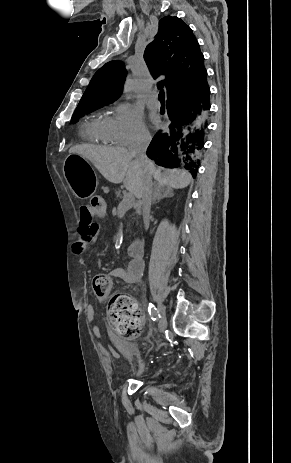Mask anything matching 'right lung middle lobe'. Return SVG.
I'll use <instances>...</instances> for the list:
<instances>
[{
    "label": "right lung middle lobe",
    "mask_w": 291,
    "mask_h": 463,
    "mask_svg": "<svg viewBox=\"0 0 291 463\" xmlns=\"http://www.w3.org/2000/svg\"><path fill=\"white\" fill-rule=\"evenodd\" d=\"M104 105H107V104H103V105H83V106H79L76 108L73 116H72V119H71V123H74L78 120V118H80L83 114L85 113H88L96 108H99L101 106H104Z\"/></svg>",
    "instance_id": "dd1d6c3e"
}]
</instances>
